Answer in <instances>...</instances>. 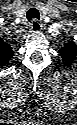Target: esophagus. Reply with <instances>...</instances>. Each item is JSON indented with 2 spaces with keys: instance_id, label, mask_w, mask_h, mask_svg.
<instances>
[{
  "instance_id": "1",
  "label": "esophagus",
  "mask_w": 77,
  "mask_h": 125,
  "mask_svg": "<svg viewBox=\"0 0 77 125\" xmlns=\"http://www.w3.org/2000/svg\"><path fill=\"white\" fill-rule=\"evenodd\" d=\"M31 30L33 32H38L41 30V23L37 19H33L30 23Z\"/></svg>"
}]
</instances>
